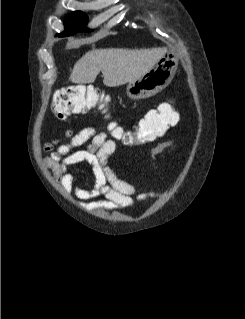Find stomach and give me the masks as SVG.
<instances>
[{"mask_svg": "<svg viewBox=\"0 0 245 319\" xmlns=\"http://www.w3.org/2000/svg\"><path fill=\"white\" fill-rule=\"evenodd\" d=\"M177 61L171 54L165 55L139 79L129 82L126 93L132 100L146 99L162 91L172 81Z\"/></svg>", "mask_w": 245, "mask_h": 319, "instance_id": "0dacf381", "label": "stomach"}]
</instances>
